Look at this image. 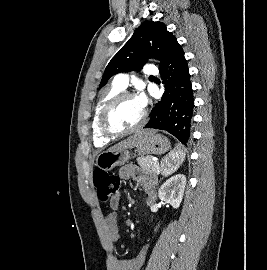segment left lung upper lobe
Wrapping results in <instances>:
<instances>
[{"instance_id":"obj_1","label":"left lung upper lobe","mask_w":267,"mask_h":270,"mask_svg":"<svg viewBox=\"0 0 267 270\" xmlns=\"http://www.w3.org/2000/svg\"><path fill=\"white\" fill-rule=\"evenodd\" d=\"M176 43V38L167 31L164 23L153 21L142 23L111 59L99 87H103L108 79L117 73L139 70L152 57L160 60L161 67Z\"/></svg>"}]
</instances>
